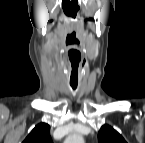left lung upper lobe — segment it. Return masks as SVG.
Here are the masks:
<instances>
[{
	"label": "left lung upper lobe",
	"mask_w": 145,
	"mask_h": 143,
	"mask_svg": "<svg viewBox=\"0 0 145 143\" xmlns=\"http://www.w3.org/2000/svg\"><path fill=\"white\" fill-rule=\"evenodd\" d=\"M99 143H125L124 138L111 126L104 125L98 132Z\"/></svg>",
	"instance_id": "1"
}]
</instances>
